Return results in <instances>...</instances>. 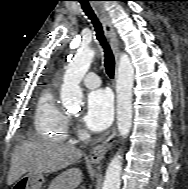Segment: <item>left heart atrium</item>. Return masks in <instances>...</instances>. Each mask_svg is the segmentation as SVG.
Listing matches in <instances>:
<instances>
[{
  "label": "left heart atrium",
  "instance_id": "obj_1",
  "mask_svg": "<svg viewBox=\"0 0 188 189\" xmlns=\"http://www.w3.org/2000/svg\"><path fill=\"white\" fill-rule=\"evenodd\" d=\"M114 101L108 89H97L88 94L84 124L91 130L100 132L113 120Z\"/></svg>",
  "mask_w": 188,
  "mask_h": 189
}]
</instances>
